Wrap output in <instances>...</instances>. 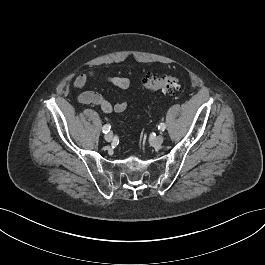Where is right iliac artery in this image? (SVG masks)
Instances as JSON below:
<instances>
[{
	"mask_svg": "<svg viewBox=\"0 0 265 265\" xmlns=\"http://www.w3.org/2000/svg\"><path fill=\"white\" fill-rule=\"evenodd\" d=\"M110 124H105L103 127H102V132L103 133H108L110 131Z\"/></svg>",
	"mask_w": 265,
	"mask_h": 265,
	"instance_id": "82829eb1",
	"label": "right iliac artery"
}]
</instances>
